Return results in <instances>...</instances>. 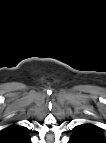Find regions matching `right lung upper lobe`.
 <instances>
[{
  "label": "right lung upper lobe",
  "mask_w": 106,
  "mask_h": 143,
  "mask_svg": "<svg viewBox=\"0 0 106 143\" xmlns=\"http://www.w3.org/2000/svg\"><path fill=\"white\" fill-rule=\"evenodd\" d=\"M28 138L23 126L13 124L0 131V143H25Z\"/></svg>",
  "instance_id": "right-lung-upper-lobe-1"
}]
</instances>
